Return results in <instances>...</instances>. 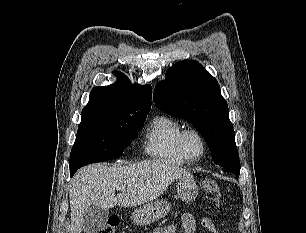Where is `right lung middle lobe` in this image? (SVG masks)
<instances>
[{"label":"right lung middle lobe","instance_id":"dd1d6c3e","mask_svg":"<svg viewBox=\"0 0 306 233\" xmlns=\"http://www.w3.org/2000/svg\"><path fill=\"white\" fill-rule=\"evenodd\" d=\"M148 113L129 114L106 110L82 111L81 123L70 154V172L122 155L134 140Z\"/></svg>","mask_w":306,"mask_h":233}]
</instances>
